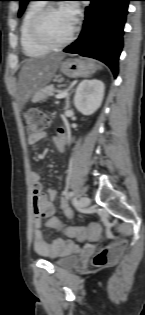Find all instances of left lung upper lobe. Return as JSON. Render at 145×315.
<instances>
[{
	"mask_svg": "<svg viewBox=\"0 0 145 315\" xmlns=\"http://www.w3.org/2000/svg\"><path fill=\"white\" fill-rule=\"evenodd\" d=\"M17 1L20 2V9L18 12V16H21L22 13L24 12L25 8H26L27 3L31 0H17Z\"/></svg>",
	"mask_w": 145,
	"mask_h": 315,
	"instance_id": "5c2ea615",
	"label": "left lung upper lobe"
}]
</instances>
